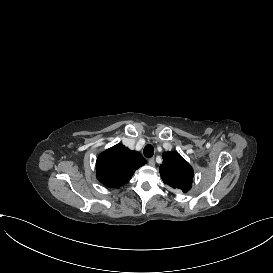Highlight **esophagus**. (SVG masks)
Returning a JSON list of instances; mask_svg holds the SVG:
<instances>
[{
  "mask_svg": "<svg viewBox=\"0 0 273 273\" xmlns=\"http://www.w3.org/2000/svg\"><path fill=\"white\" fill-rule=\"evenodd\" d=\"M148 163H149L150 166H154L155 165V159L154 158H150L148 160Z\"/></svg>",
  "mask_w": 273,
  "mask_h": 273,
  "instance_id": "1",
  "label": "esophagus"
}]
</instances>
